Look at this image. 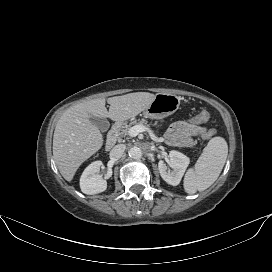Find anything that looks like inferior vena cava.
I'll return each instance as SVG.
<instances>
[{
    "label": "inferior vena cava",
    "mask_w": 272,
    "mask_h": 272,
    "mask_svg": "<svg viewBox=\"0 0 272 272\" xmlns=\"http://www.w3.org/2000/svg\"><path fill=\"white\" fill-rule=\"evenodd\" d=\"M126 149V146L124 144H118L112 148L110 151V159L112 160H118L122 157L124 151Z\"/></svg>",
    "instance_id": "obj_1"
}]
</instances>
